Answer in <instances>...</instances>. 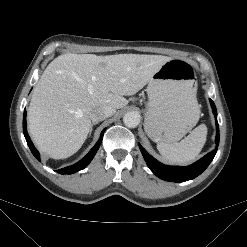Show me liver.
Listing matches in <instances>:
<instances>
[{"label":"liver","instance_id":"liver-1","mask_svg":"<svg viewBox=\"0 0 247 247\" xmlns=\"http://www.w3.org/2000/svg\"><path fill=\"white\" fill-rule=\"evenodd\" d=\"M172 58L161 55L64 54L44 70L33 90L28 127L38 149L53 159L76 153L92 127L90 112L121 109Z\"/></svg>","mask_w":247,"mask_h":247}]
</instances>
